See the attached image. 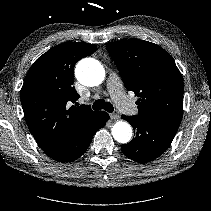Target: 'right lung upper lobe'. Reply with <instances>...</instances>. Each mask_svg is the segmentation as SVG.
Returning <instances> with one entry per match:
<instances>
[{
	"label": "right lung upper lobe",
	"instance_id": "right-lung-upper-lobe-1",
	"mask_svg": "<svg viewBox=\"0 0 211 211\" xmlns=\"http://www.w3.org/2000/svg\"><path fill=\"white\" fill-rule=\"evenodd\" d=\"M94 44L62 43L40 56L29 69L20 91L28 128L49 155L62 147L76 129L99 111L72 105L79 94L72 86L74 66L96 51Z\"/></svg>",
	"mask_w": 211,
	"mask_h": 211
}]
</instances>
